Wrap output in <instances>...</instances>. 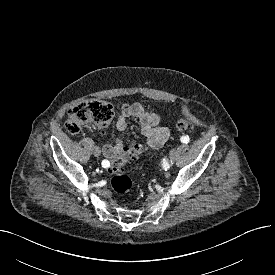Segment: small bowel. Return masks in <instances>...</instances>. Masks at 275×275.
Listing matches in <instances>:
<instances>
[{"label": "small bowel", "instance_id": "1", "mask_svg": "<svg viewBox=\"0 0 275 275\" xmlns=\"http://www.w3.org/2000/svg\"><path fill=\"white\" fill-rule=\"evenodd\" d=\"M134 117L139 120L141 133L145 138V143L152 149L161 148L169 138V129L160 126L162 115L150 112L140 103L124 104L121 114L116 122L119 131H124L128 127V119ZM131 151L124 147L121 139H117L114 144H104L102 152L106 160L113 161L120 157L128 156ZM110 163V162H109Z\"/></svg>", "mask_w": 275, "mask_h": 275}]
</instances>
